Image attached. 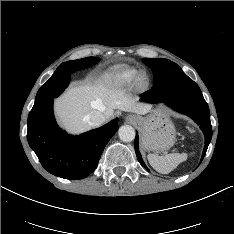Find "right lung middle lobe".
Masks as SVG:
<instances>
[{"instance_id":"1","label":"right lung middle lobe","mask_w":234,"mask_h":234,"mask_svg":"<svg viewBox=\"0 0 234 234\" xmlns=\"http://www.w3.org/2000/svg\"><path fill=\"white\" fill-rule=\"evenodd\" d=\"M100 58L98 57H86L78 60H71L62 63L56 71H66V72H75L77 70H82L96 64Z\"/></svg>"}]
</instances>
